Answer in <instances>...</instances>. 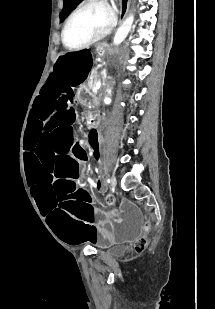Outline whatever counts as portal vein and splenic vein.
Segmentation results:
<instances>
[{
  "mask_svg": "<svg viewBox=\"0 0 215 309\" xmlns=\"http://www.w3.org/2000/svg\"><path fill=\"white\" fill-rule=\"evenodd\" d=\"M99 86H101V82H97L96 88H99Z\"/></svg>",
  "mask_w": 215,
  "mask_h": 309,
  "instance_id": "obj_1",
  "label": "portal vein and splenic vein"
}]
</instances>
